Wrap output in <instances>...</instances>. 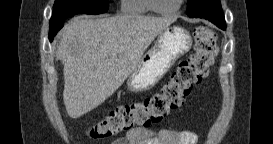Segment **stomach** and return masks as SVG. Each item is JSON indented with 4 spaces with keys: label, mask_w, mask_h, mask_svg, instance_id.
<instances>
[{
    "label": "stomach",
    "mask_w": 273,
    "mask_h": 144,
    "mask_svg": "<svg viewBox=\"0 0 273 144\" xmlns=\"http://www.w3.org/2000/svg\"><path fill=\"white\" fill-rule=\"evenodd\" d=\"M191 46L189 31L181 26L167 27L128 76V89L137 92L152 88Z\"/></svg>",
    "instance_id": "0dacf381"
}]
</instances>
